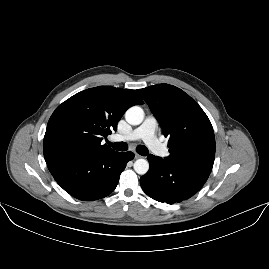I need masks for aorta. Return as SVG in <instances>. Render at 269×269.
I'll return each instance as SVG.
<instances>
[{
	"mask_svg": "<svg viewBox=\"0 0 269 269\" xmlns=\"http://www.w3.org/2000/svg\"><path fill=\"white\" fill-rule=\"evenodd\" d=\"M125 119L131 125H139L144 119V111L139 106H133L126 111ZM134 170L137 174H146L149 170V162L146 159H137L134 162Z\"/></svg>",
	"mask_w": 269,
	"mask_h": 269,
	"instance_id": "aorta-1",
	"label": "aorta"
}]
</instances>
